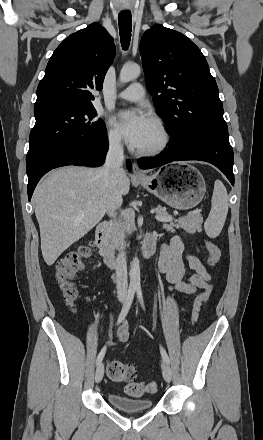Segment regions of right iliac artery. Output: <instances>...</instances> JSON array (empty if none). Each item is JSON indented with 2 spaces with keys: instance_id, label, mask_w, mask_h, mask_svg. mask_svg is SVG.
I'll use <instances>...</instances> for the list:
<instances>
[{
  "instance_id": "obj_1",
  "label": "right iliac artery",
  "mask_w": 263,
  "mask_h": 440,
  "mask_svg": "<svg viewBox=\"0 0 263 440\" xmlns=\"http://www.w3.org/2000/svg\"><path fill=\"white\" fill-rule=\"evenodd\" d=\"M134 294H135V288H130V289L128 290V294H127V297H126L125 303H124V305H123V308H122V310H121V312H120V315H119V317H118L117 325H119V324L124 320V318L126 317V315L128 314V312H129V310H130V307H131V305H132L133 299H134ZM105 352H106V346H104V347L102 348V350L100 351V353H99V355H98V357H97V360H96V364H97V365H98L99 363H101V361L103 360L104 355H105Z\"/></svg>"
}]
</instances>
